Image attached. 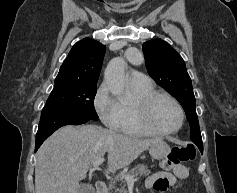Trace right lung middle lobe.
Listing matches in <instances>:
<instances>
[{
	"mask_svg": "<svg viewBox=\"0 0 237 193\" xmlns=\"http://www.w3.org/2000/svg\"><path fill=\"white\" fill-rule=\"evenodd\" d=\"M96 92V83L55 79V87L43 110L76 118L98 120L99 117L94 108Z\"/></svg>",
	"mask_w": 237,
	"mask_h": 193,
	"instance_id": "dd1d6c3e",
	"label": "right lung middle lobe"
}]
</instances>
